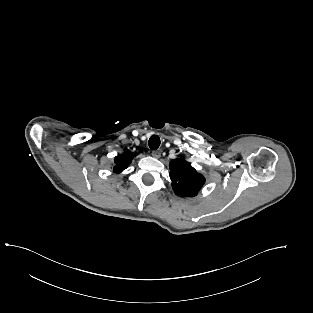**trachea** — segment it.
Segmentation results:
<instances>
[{
  "label": "trachea",
  "mask_w": 313,
  "mask_h": 313,
  "mask_svg": "<svg viewBox=\"0 0 313 313\" xmlns=\"http://www.w3.org/2000/svg\"><path fill=\"white\" fill-rule=\"evenodd\" d=\"M149 147L151 150H157L160 146V138L159 136L157 135H152L150 138H149Z\"/></svg>",
  "instance_id": "3493384b"
}]
</instances>
